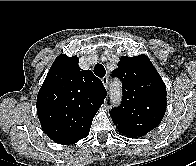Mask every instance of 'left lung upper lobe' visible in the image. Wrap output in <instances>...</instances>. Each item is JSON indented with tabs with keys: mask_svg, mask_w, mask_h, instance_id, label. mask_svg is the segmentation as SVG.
I'll use <instances>...</instances> for the list:
<instances>
[{
	"mask_svg": "<svg viewBox=\"0 0 196 166\" xmlns=\"http://www.w3.org/2000/svg\"><path fill=\"white\" fill-rule=\"evenodd\" d=\"M112 76L123 87L121 105L110 111L117 129L136 138L157 127L166 112V86L150 59L122 56Z\"/></svg>",
	"mask_w": 196,
	"mask_h": 166,
	"instance_id": "obj_1",
	"label": "left lung upper lobe"
}]
</instances>
